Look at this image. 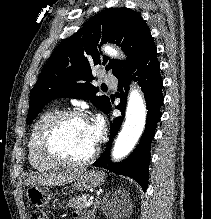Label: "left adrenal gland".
Masks as SVG:
<instances>
[{"label":"left adrenal gland","instance_id":"left-adrenal-gland-1","mask_svg":"<svg viewBox=\"0 0 211 219\" xmlns=\"http://www.w3.org/2000/svg\"><path fill=\"white\" fill-rule=\"evenodd\" d=\"M98 206H99V198H97L95 200V203L93 205V210H92V214H91L92 215V219H95V214H96V210H97Z\"/></svg>","mask_w":211,"mask_h":219}]
</instances>
